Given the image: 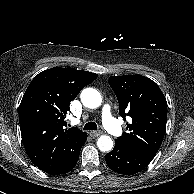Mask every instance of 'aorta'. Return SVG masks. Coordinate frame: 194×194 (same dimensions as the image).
Listing matches in <instances>:
<instances>
[{"instance_id": "aorta-1", "label": "aorta", "mask_w": 194, "mask_h": 194, "mask_svg": "<svg viewBox=\"0 0 194 194\" xmlns=\"http://www.w3.org/2000/svg\"><path fill=\"white\" fill-rule=\"evenodd\" d=\"M80 98L84 106L92 109L99 107L102 103L101 94L93 88L84 89ZM97 146L103 152L109 151L113 148V141L109 136L102 135L97 140Z\"/></svg>"}]
</instances>
